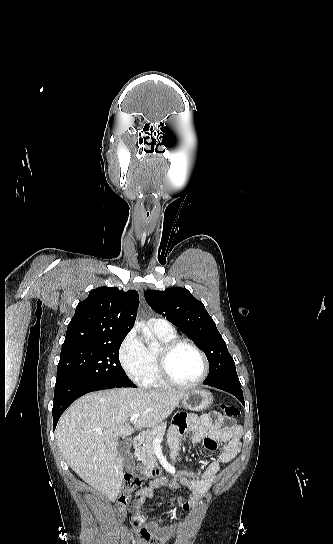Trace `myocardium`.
<instances>
[{
    "label": "myocardium",
    "instance_id": "obj_1",
    "mask_svg": "<svg viewBox=\"0 0 333 544\" xmlns=\"http://www.w3.org/2000/svg\"><path fill=\"white\" fill-rule=\"evenodd\" d=\"M189 347L199 354L203 362V372L201 376L195 381L189 383H183L177 381L170 371V359L172 355L181 347ZM156 363L158 374L163 382L177 388H191L203 383L209 375L210 364L205 352L199 348L196 344L184 340L175 339L172 341L164 342L156 351Z\"/></svg>",
    "mask_w": 333,
    "mask_h": 544
}]
</instances>
